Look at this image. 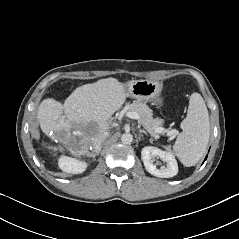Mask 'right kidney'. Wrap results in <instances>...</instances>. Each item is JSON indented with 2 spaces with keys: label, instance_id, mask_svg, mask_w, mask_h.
Instances as JSON below:
<instances>
[{
  "label": "right kidney",
  "instance_id": "1",
  "mask_svg": "<svg viewBox=\"0 0 239 239\" xmlns=\"http://www.w3.org/2000/svg\"><path fill=\"white\" fill-rule=\"evenodd\" d=\"M60 169L67 173L79 174L86 170L87 163L77 159L62 156L58 161Z\"/></svg>",
  "mask_w": 239,
  "mask_h": 239
}]
</instances>
